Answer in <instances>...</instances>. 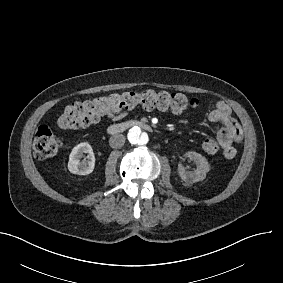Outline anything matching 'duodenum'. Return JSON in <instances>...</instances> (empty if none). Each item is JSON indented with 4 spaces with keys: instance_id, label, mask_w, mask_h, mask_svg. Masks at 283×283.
Here are the masks:
<instances>
[{
    "instance_id": "obj_1",
    "label": "duodenum",
    "mask_w": 283,
    "mask_h": 283,
    "mask_svg": "<svg viewBox=\"0 0 283 283\" xmlns=\"http://www.w3.org/2000/svg\"><path fill=\"white\" fill-rule=\"evenodd\" d=\"M133 127H138L145 131L152 130V126L150 124L146 122H142V121H137V120H129V121L121 122V123H115V124L110 125L107 130L110 134H118V133L124 132Z\"/></svg>"
}]
</instances>
